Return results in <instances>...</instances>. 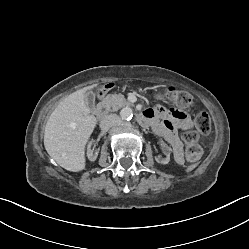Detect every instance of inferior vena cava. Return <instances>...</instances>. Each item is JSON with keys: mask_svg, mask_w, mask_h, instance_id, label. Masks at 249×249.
Returning a JSON list of instances; mask_svg holds the SVG:
<instances>
[{"mask_svg": "<svg viewBox=\"0 0 249 249\" xmlns=\"http://www.w3.org/2000/svg\"><path fill=\"white\" fill-rule=\"evenodd\" d=\"M121 124V119L118 115L116 114H110L105 116L101 122H100V128L103 131H107L110 128L114 127V126H118Z\"/></svg>", "mask_w": 249, "mask_h": 249, "instance_id": "602c4592", "label": "inferior vena cava"}]
</instances>
